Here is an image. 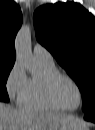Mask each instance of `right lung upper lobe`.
<instances>
[{
    "mask_svg": "<svg viewBox=\"0 0 95 130\" xmlns=\"http://www.w3.org/2000/svg\"><path fill=\"white\" fill-rule=\"evenodd\" d=\"M20 7L12 0H0V63L14 64L15 36L22 24Z\"/></svg>",
    "mask_w": 95,
    "mask_h": 130,
    "instance_id": "obj_1",
    "label": "right lung upper lobe"
}]
</instances>
